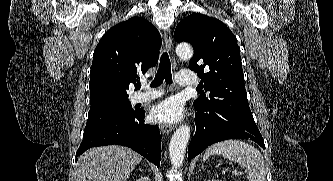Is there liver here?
<instances>
[{"label": "liver", "mask_w": 333, "mask_h": 181, "mask_svg": "<svg viewBox=\"0 0 333 181\" xmlns=\"http://www.w3.org/2000/svg\"><path fill=\"white\" fill-rule=\"evenodd\" d=\"M142 156L118 145L91 148L77 161L74 181H127Z\"/></svg>", "instance_id": "obj_1"}]
</instances>
